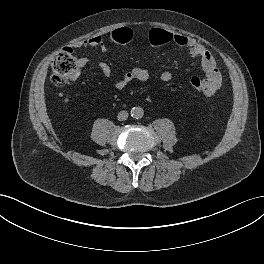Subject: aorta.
<instances>
[{"label":"aorta","instance_id":"aorta-1","mask_svg":"<svg viewBox=\"0 0 264 264\" xmlns=\"http://www.w3.org/2000/svg\"><path fill=\"white\" fill-rule=\"evenodd\" d=\"M143 115H144V111H143V109L141 107L138 106V107H133L131 109V116L133 118L140 119V118L143 117Z\"/></svg>","mask_w":264,"mask_h":264}]
</instances>
